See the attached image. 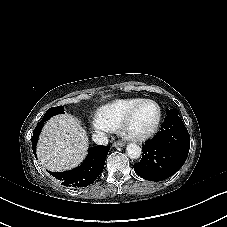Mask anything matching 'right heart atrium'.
<instances>
[{
    "mask_svg": "<svg viewBox=\"0 0 227 227\" xmlns=\"http://www.w3.org/2000/svg\"><path fill=\"white\" fill-rule=\"evenodd\" d=\"M111 129L108 128L107 126H97L95 125L93 127V133L97 136H104L108 133H110Z\"/></svg>",
    "mask_w": 227,
    "mask_h": 227,
    "instance_id": "right-heart-atrium-1",
    "label": "right heart atrium"
}]
</instances>
